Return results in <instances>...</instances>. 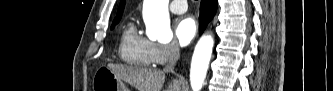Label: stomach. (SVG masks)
<instances>
[{"label": "stomach", "mask_w": 333, "mask_h": 91, "mask_svg": "<svg viewBox=\"0 0 333 91\" xmlns=\"http://www.w3.org/2000/svg\"><path fill=\"white\" fill-rule=\"evenodd\" d=\"M93 91H129L120 78L106 66H101L94 74Z\"/></svg>", "instance_id": "1"}]
</instances>
